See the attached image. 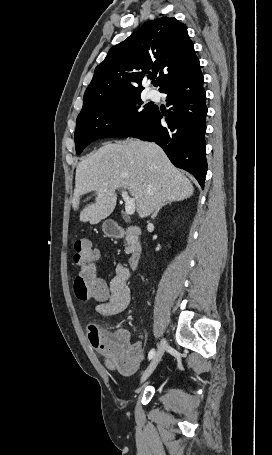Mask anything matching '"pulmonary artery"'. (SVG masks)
I'll use <instances>...</instances> for the list:
<instances>
[{
    "label": "pulmonary artery",
    "mask_w": 272,
    "mask_h": 455,
    "mask_svg": "<svg viewBox=\"0 0 272 455\" xmlns=\"http://www.w3.org/2000/svg\"><path fill=\"white\" fill-rule=\"evenodd\" d=\"M149 97H150L151 99H153V100H156V99L159 98V93H158L157 91H155V90H151V91L149 92Z\"/></svg>",
    "instance_id": "e3ab8cb5"
}]
</instances>
